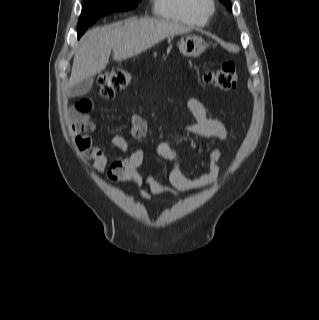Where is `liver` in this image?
<instances>
[{
    "mask_svg": "<svg viewBox=\"0 0 319 320\" xmlns=\"http://www.w3.org/2000/svg\"><path fill=\"white\" fill-rule=\"evenodd\" d=\"M191 31L182 24L162 19H126L94 28L85 33L75 53L69 87L100 73L108 64L111 51L114 60L138 55L166 37Z\"/></svg>",
    "mask_w": 319,
    "mask_h": 320,
    "instance_id": "1",
    "label": "liver"
}]
</instances>
